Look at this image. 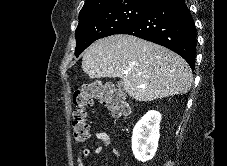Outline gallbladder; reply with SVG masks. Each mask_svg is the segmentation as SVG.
<instances>
[{
  "instance_id": "gallbladder-1",
  "label": "gallbladder",
  "mask_w": 227,
  "mask_h": 166,
  "mask_svg": "<svg viewBox=\"0 0 227 166\" xmlns=\"http://www.w3.org/2000/svg\"><path fill=\"white\" fill-rule=\"evenodd\" d=\"M118 87H119V88H122V87H123L122 82H118Z\"/></svg>"
}]
</instances>
